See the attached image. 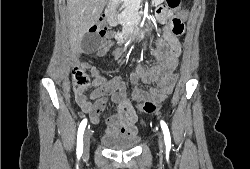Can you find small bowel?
<instances>
[{
	"label": "small bowel",
	"instance_id": "1",
	"mask_svg": "<svg viewBox=\"0 0 250 169\" xmlns=\"http://www.w3.org/2000/svg\"><path fill=\"white\" fill-rule=\"evenodd\" d=\"M161 15L166 18L165 21H170L173 28V22L179 20L182 23L187 13L180 10L175 16L166 12ZM112 46L113 43L110 39L102 40L93 52L102 57ZM82 53H84L83 50L76 51V55ZM180 54V41L171 34L169 28H166L164 39L159 41L151 52L154 63L146 69L138 66L136 71L131 74V95L128 94L126 85L120 76L107 79L96 66L77 61L79 67L90 74L92 78L90 87L93 90L89 97L85 93L86 90L80 93L75 92L76 102L84 112L89 114L93 122H98V117L104 111L108 101L117 104V112L112 114L107 121V131L114 135H133L136 133L138 122L137 108L133 103H144V98H148L149 95H157V91H166L167 95L172 93L177 78L176 68ZM115 56H119V53H115ZM140 82L155 83L156 86L143 90L139 86Z\"/></svg>",
	"mask_w": 250,
	"mask_h": 169
}]
</instances>
